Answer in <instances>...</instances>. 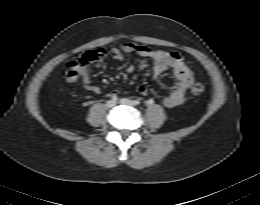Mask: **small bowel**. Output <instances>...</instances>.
<instances>
[{"label":"small bowel","mask_w":260,"mask_h":205,"mask_svg":"<svg viewBox=\"0 0 260 205\" xmlns=\"http://www.w3.org/2000/svg\"><path fill=\"white\" fill-rule=\"evenodd\" d=\"M123 53L150 59L152 62L151 73L154 77L171 69L177 81L172 91L163 98L162 103L167 108H173L183 103L186 92L193 82V73L179 53L156 51L131 42L124 43L119 48L111 50L112 57L115 60H122ZM134 69V65L127 67L128 72H133ZM62 81L65 83L80 81L91 93L99 94L101 92V89L94 83L88 70L85 67L79 66L75 61L66 63V70L62 74ZM137 91L142 95L147 93V89L143 85L138 86ZM113 94H116V92H113Z\"/></svg>","instance_id":"c3829d8e"}]
</instances>
